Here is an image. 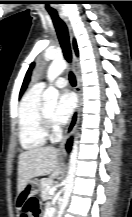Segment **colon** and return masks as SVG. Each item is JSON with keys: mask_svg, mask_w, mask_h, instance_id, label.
<instances>
[{"mask_svg": "<svg viewBox=\"0 0 132 217\" xmlns=\"http://www.w3.org/2000/svg\"><path fill=\"white\" fill-rule=\"evenodd\" d=\"M40 212L39 202L36 197L27 199L24 205V214L26 217H38Z\"/></svg>", "mask_w": 132, "mask_h": 217, "instance_id": "5ec220e1", "label": "colon"}]
</instances>
